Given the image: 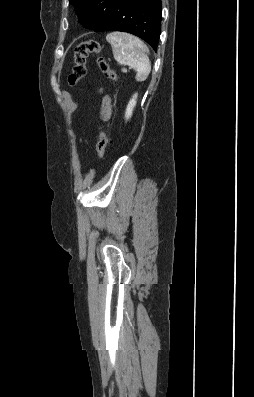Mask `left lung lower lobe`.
Masks as SVG:
<instances>
[{"mask_svg":"<svg viewBox=\"0 0 254 397\" xmlns=\"http://www.w3.org/2000/svg\"><path fill=\"white\" fill-rule=\"evenodd\" d=\"M94 31H123L145 40L155 51L161 33V0H107Z\"/></svg>","mask_w":254,"mask_h":397,"instance_id":"1","label":"left lung lower lobe"}]
</instances>
